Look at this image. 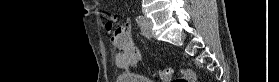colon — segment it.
Instances as JSON below:
<instances>
[{"instance_id":"colon-1","label":"colon","mask_w":279,"mask_h":82,"mask_svg":"<svg viewBox=\"0 0 279 82\" xmlns=\"http://www.w3.org/2000/svg\"><path fill=\"white\" fill-rule=\"evenodd\" d=\"M172 74H173L172 68L168 67L163 69L160 74V81L169 82L171 80ZM194 81H195V75L189 69H183L180 75L176 79V82H194Z\"/></svg>"}]
</instances>
